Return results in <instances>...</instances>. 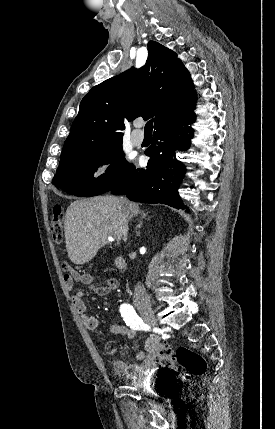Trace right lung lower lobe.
Listing matches in <instances>:
<instances>
[{
	"instance_id": "obj_1",
	"label": "right lung lower lobe",
	"mask_w": 275,
	"mask_h": 429,
	"mask_svg": "<svg viewBox=\"0 0 275 429\" xmlns=\"http://www.w3.org/2000/svg\"><path fill=\"white\" fill-rule=\"evenodd\" d=\"M194 121L195 114L156 129L152 145L146 150L150 157L147 168L135 169L133 166L127 177L110 191L136 202L162 203L185 209L178 194L185 166L177 160L175 152L189 148L194 131L187 125Z\"/></svg>"
}]
</instances>
